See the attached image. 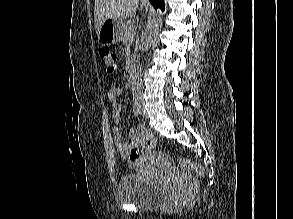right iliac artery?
<instances>
[{"instance_id":"82829eb1","label":"right iliac artery","mask_w":293,"mask_h":219,"mask_svg":"<svg viewBox=\"0 0 293 219\" xmlns=\"http://www.w3.org/2000/svg\"><path fill=\"white\" fill-rule=\"evenodd\" d=\"M133 98H134V106H133V112L135 115H139L141 113V108H140V103H139V100H140V96H139V93L135 92L133 94Z\"/></svg>"}]
</instances>
